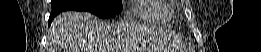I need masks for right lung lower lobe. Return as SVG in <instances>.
Here are the masks:
<instances>
[{
	"label": "right lung lower lobe",
	"mask_w": 261,
	"mask_h": 52,
	"mask_svg": "<svg viewBox=\"0 0 261 52\" xmlns=\"http://www.w3.org/2000/svg\"><path fill=\"white\" fill-rule=\"evenodd\" d=\"M59 13H60V12H54V11L51 12L50 17H49V21H48V24H49V25L51 24L53 18H54L57 14H59Z\"/></svg>",
	"instance_id": "1"
}]
</instances>
